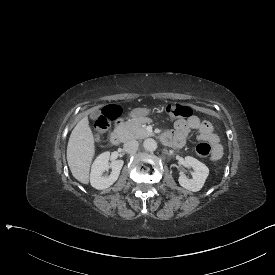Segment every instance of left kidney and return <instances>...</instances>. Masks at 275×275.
Here are the masks:
<instances>
[{
    "label": "left kidney",
    "instance_id": "left-kidney-1",
    "mask_svg": "<svg viewBox=\"0 0 275 275\" xmlns=\"http://www.w3.org/2000/svg\"><path fill=\"white\" fill-rule=\"evenodd\" d=\"M185 166L193 168L192 179H188L185 175H180L178 179L179 184L190 191H199L209 175L208 167L191 156L185 157Z\"/></svg>",
    "mask_w": 275,
    "mask_h": 275
}]
</instances>
